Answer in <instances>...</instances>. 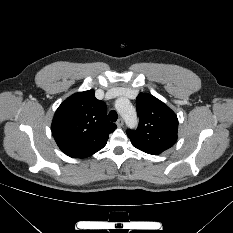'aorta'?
<instances>
[{"instance_id":"762f6f07","label":"aorta","mask_w":233,"mask_h":233,"mask_svg":"<svg viewBox=\"0 0 233 233\" xmlns=\"http://www.w3.org/2000/svg\"><path fill=\"white\" fill-rule=\"evenodd\" d=\"M116 108L129 128L137 125V114L134 107L127 99H119L116 102Z\"/></svg>"}]
</instances>
